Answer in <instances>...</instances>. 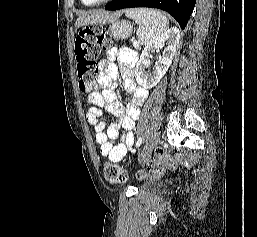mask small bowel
Instances as JSON below:
<instances>
[{"instance_id":"c3829d8e","label":"small bowel","mask_w":257,"mask_h":237,"mask_svg":"<svg viewBox=\"0 0 257 237\" xmlns=\"http://www.w3.org/2000/svg\"><path fill=\"white\" fill-rule=\"evenodd\" d=\"M116 58L120 69L114 63ZM136 60V53L130 49L109 50L106 59L100 62L98 84L88 97L91 106L86 114L87 121L95 129V141L100 146V153L112 162L122 161L133 151L135 121L139 117L140 106L148 95L147 90L139 87L133 78L132 70ZM119 71L125 90L132 94L126 99L125 105L111 89ZM99 88L104 90L99 91ZM102 109L114 115L108 127L102 118Z\"/></svg>"}]
</instances>
